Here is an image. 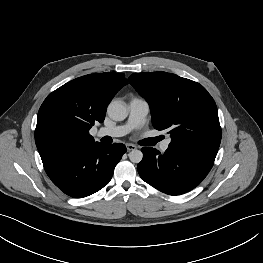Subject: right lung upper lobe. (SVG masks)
<instances>
[{
	"label": "right lung upper lobe",
	"instance_id": "1",
	"mask_svg": "<svg viewBox=\"0 0 263 263\" xmlns=\"http://www.w3.org/2000/svg\"><path fill=\"white\" fill-rule=\"evenodd\" d=\"M127 84L123 73L89 74L59 87L42 103L35 143L48 167L71 148L93 143L94 122H103L108 103Z\"/></svg>",
	"mask_w": 263,
	"mask_h": 263
}]
</instances>
